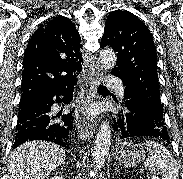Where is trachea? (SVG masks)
I'll use <instances>...</instances> for the list:
<instances>
[{"label":"trachea","instance_id":"trachea-1","mask_svg":"<svg viewBox=\"0 0 183 179\" xmlns=\"http://www.w3.org/2000/svg\"><path fill=\"white\" fill-rule=\"evenodd\" d=\"M97 89L98 91H108V89L102 85H99Z\"/></svg>","mask_w":183,"mask_h":179}]
</instances>
